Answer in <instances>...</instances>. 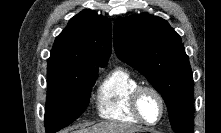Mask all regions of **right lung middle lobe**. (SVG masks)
I'll use <instances>...</instances> for the list:
<instances>
[{
	"label": "right lung middle lobe",
	"mask_w": 221,
	"mask_h": 133,
	"mask_svg": "<svg viewBox=\"0 0 221 133\" xmlns=\"http://www.w3.org/2000/svg\"><path fill=\"white\" fill-rule=\"evenodd\" d=\"M106 63L79 65L48 73L46 133H55L76 120L88 107L99 67Z\"/></svg>",
	"instance_id": "dd1d6c3e"
}]
</instances>
